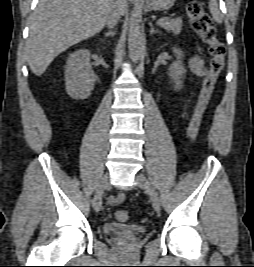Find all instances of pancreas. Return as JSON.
<instances>
[{
	"instance_id": "1",
	"label": "pancreas",
	"mask_w": 254,
	"mask_h": 267,
	"mask_svg": "<svg viewBox=\"0 0 254 267\" xmlns=\"http://www.w3.org/2000/svg\"><path fill=\"white\" fill-rule=\"evenodd\" d=\"M183 20L181 18L168 19L166 22L160 24V26L167 30L168 32H172L174 35H177L182 30Z\"/></svg>"
}]
</instances>
